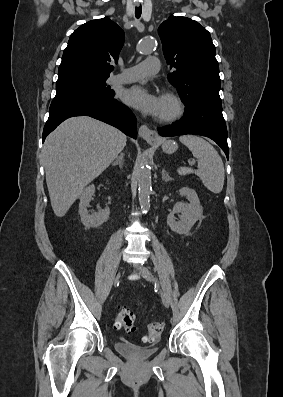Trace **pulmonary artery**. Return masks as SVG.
<instances>
[{
  "mask_svg": "<svg viewBox=\"0 0 283 397\" xmlns=\"http://www.w3.org/2000/svg\"><path fill=\"white\" fill-rule=\"evenodd\" d=\"M160 69V63L157 57L151 56L145 59L143 62L126 68L122 73L115 75L110 78L111 83H130L138 81L146 76L154 75L158 73Z\"/></svg>",
  "mask_w": 283,
  "mask_h": 397,
  "instance_id": "e3ab8cb5",
  "label": "pulmonary artery"
}]
</instances>
